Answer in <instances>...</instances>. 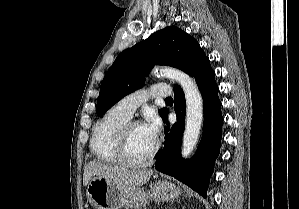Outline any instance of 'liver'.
<instances>
[{
    "label": "liver",
    "instance_id": "liver-1",
    "mask_svg": "<svg viewBox=\"0 0 299 209\" xmlns=\"http://www.w3.org/2000/svg\"><path fill=\"white\" fill-rule=\"evenodd\" d=\"M152 174V170H130L91 161L85 167L83 185L86 186L93 177H100L118 186H141Z\"/></svg>",
    "mask_w": 299,
    "mask_h": 209
}]
</instances>
